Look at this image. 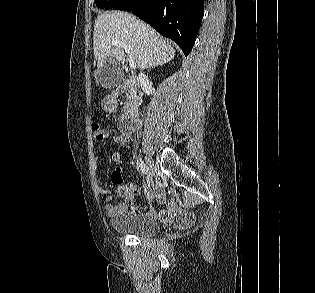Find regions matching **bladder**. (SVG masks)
I'll list each match as a JSON object with an SVG mask.
<instances>
[{"mask_svg": "<svg viewBox=\"0 0 315 293\" xmlns=\"http://www.w3.org/2000/svg\"><path fill=\"white\" fill-rule=\"evenodd\" d=\"M112 228L121 234L149 237L159 232V223L145 215L121 213L110 218Z\"/></svg>", "mask_w": 315, "mask_h": 293, "instance_id": "1", "label": "bladder"}]
</instances>
